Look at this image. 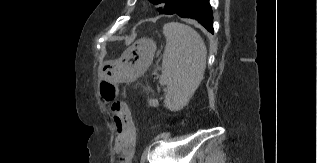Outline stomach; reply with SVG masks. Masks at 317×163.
<instances>
[{
  "instance_id": "1",
  "label": "stomach",
  "mask_w": 317,
  "mask_h": 163,
  "mask_svg": "<svg viewBox=\"0 0 317 163\" xmlns=\"http://www.w3.org/2000/svg\"><path fill=\"white\" fill-rule=\"evenodd\" d=\"M156 44L151 39H140L127 48L116 61H106L99 67V77L117 82L139 77L152 63Z\"/></svg>"
}]
</instances>
